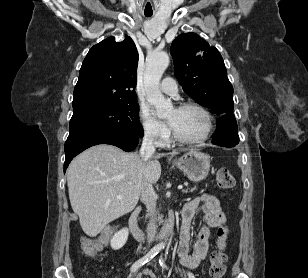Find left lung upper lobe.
Segmentation results:
<instances>
[{
	"label": "left lung upper lobe",
	"instance_id": "1",
	"mask_svg": "<svg viewBox=\"0 0 308 278\" xmlns=\"http://www.w3.org/2000/svg\"><path fill=\"white\" fill-rule=\"evenodd\" d=\"M170 53L175 76L190 97L214 114H233V87L215 47L195 33H186L172 42Z\"/></svg>",
	"mask_w": 308,
	"mask_h": 278
}]
</instances>
